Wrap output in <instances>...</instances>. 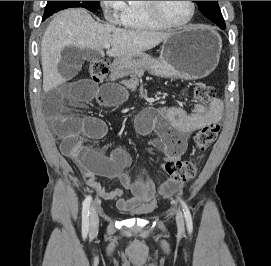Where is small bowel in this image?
I'll use <instances>...</instances> for the list:
<instances>
[{"label":"small bowel","instance_id":"small-bowel-1","mask_svg":"<svg viewBox=\"0 0 271 266\" xmlns=\"http://www.w3.org/2000/svg\"><path fill=\"white\" fill-rule=\"evenodd\" d=\"M82 62L72 55L63 59L58 66L59 84L52 88L44 103L46 115L52 121L60 140L61 151L76 163L88 186L105 200L116 199L121 211L139 206L152 207L156 191L168 195L181 189L183 182L167 180L158 188L150 179L134 180L125 172L130 164L128 154L121 148L104 154L87 145L85 139L101 140L108 135L104 120L95 116L78 118L64 114L65 106L71 102L95 101L101 106L113 107L123 103L126 92L116 84L96 85L89 79L72 81L81 69ZM51 78L55 77L52 72ZM222 102L215 99L209 108L196 104L190 112L180 107L166 105L158 109H146L139 114L135 124L142 134L156 133L168 159H178L186 150L188 136L212 121H219ZM97 177L119 180L122 188L107 190ZM130 196H125V192Z\"/></svg>","mask_w":271,"mask_h":266}]
</instances>
